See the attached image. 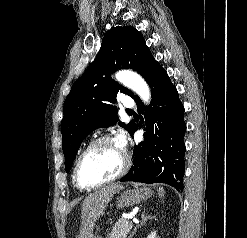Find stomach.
<instances>
[{
    "instance_id": "1",
    "label": "stomach",
    "mask_w": 247,
    "mask_h": 238,
    "mask_svg": "<svg viewBox=\"0 0 247 238\" xmlns=\"http://www.w3.org/2000/svg\"><path fill=\"white\" fill-rule=\"evenodd\" d=\"M152 191L147 187H136L132 190L124 191L118 198L119 208L133 206L151 197ZM93 238H101L99 235Z\"/></svg>"
}]
</instances>
